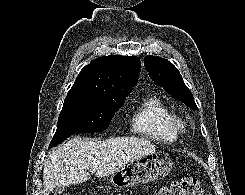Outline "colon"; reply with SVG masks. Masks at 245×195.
Wrapping results in <instances>:
<instances>
[{
    "label": "colon",
    "mask_w": 245,
    "mask_h": 195,
    "mask_svg": "<svg viewBox=\"0 0 245 195\" xmlns=\"http://www.w3.org/2000/svg\"><path fill=\"white\" fill-rule=\"evenodd\" d=\"M200 181L194 177H187L172 182L169 186L162 188L158 195H202Z\"/></svg>",
    "instance_id": "5ec220e1"
}]
</instances>
